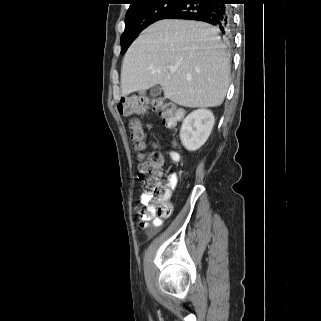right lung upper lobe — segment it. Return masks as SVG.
Segmentation results:
<instances>
[{"label": "right lung upper lobe", "instance_id": "obj_1", "mask_svg": "<svg viewBox=\"0 0 321 321\" xmlns=\"http://www.w3.org/2000/svg\"><path fill=\"white\" fill-rule=\"evenodd\" d=\"M149 1H152V0H130L131 3L129 8L142 5Z\"/></svg>", "mask_w": 321, "mask_h": 321}]
</instances>
